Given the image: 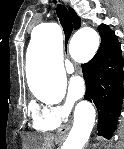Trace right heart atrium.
<instances>
[{
    "label": "right heart atrium",
    "instance_id": "1",
    "mask_svg": "<svg viewBox=\"0 0 124 149\" xmlns=\"http://www.w3.org/2000/svg\"><path fill=\"white\" fill-rule=\"evenodd\" d=\"M70 109L68 103L56 105L33 104L31 106L33 126L36 129L54 130L66 119Z\"/></svg>",
    "mask_w": 124,
    "mask_h": 149
}]
</instances>
